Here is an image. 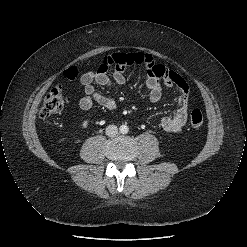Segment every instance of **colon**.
Masks as SVG:
<instances>
[{"label": "colon", "mask_w": 247, "mask_h": 247, "mask_svg": "<svg viewBox=\"0 0 247 247\" xmlns=\"http://www.w3.org/2000/svg\"><path fill=\"white\" fill-rule=\"evenodd\" d=\"M77 71L72 69L67 73L70 79H74ZM69 98L65 95L62 87L58 86L52 88L45 96L43 104L40 109V116L42 118H49L59 114L67 105ZM204 123V117L200 110H193L190 114V124L194 128H199Z\"/></svg>", "instance_id": "obj_1"}]
</instances>
